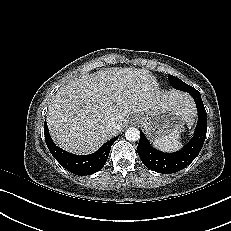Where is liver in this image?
<instances>
[{"label":"liver","instance_id":"liver-1","mask_svg":"<svg viewBox=\"0 0 231 231\" xmlns=\"http://www.w3.org/2000/svg\"><path fill=\"white\" fill-rule=\"evenodd\" d=\"M167 105L180 107L192 121L194 103L187 94L161 92L146 69L109 68L79 76L62 86L48 107L47 124L54 142L71 153L98 150L115 133L108 125L124 127L131 114H149Z\"/></svg>","mask_w":231,"mask_h":231}]
</instances>
